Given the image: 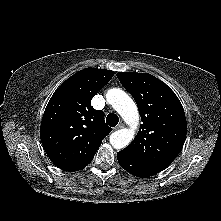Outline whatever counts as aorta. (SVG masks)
<instances>
[{"label":"aorta","instance_id":"762f6f07","mask_svg":"<svg viewBox=\"0 0 221 221\" xmlns=\"http://www.w3.org/2000/svg\"><path fill=\"white\" fill-rule=\"evenodd\" d=\"M106 100L119 113L130 129H120L110 135V144L115 149H123L130 144L135 136L140 121L139 112L134 101L121 89H110Z\"/></svg>","mask_w":221,"mask_h":221}]
</instances>
